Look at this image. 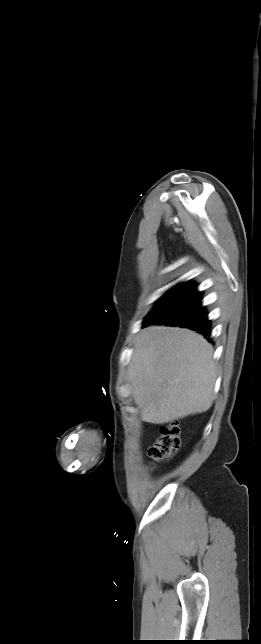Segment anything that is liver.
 Returning <instances> with one entry per match:
<instances>
[{
    "mask_svg": "<svg viewBox=\"0 0 261 644\" xmlns=\"http://www.w3.org/2000/svg\"><path fill=\"white\" fill-rule=\"evenodd\" d=\"M215 380L213 348L191 330L149 326L135 341L128 381L145 422L164 424L207 411Z\"/></svg>",
    "mask_w": 261,
    "mask_h": 644,
    "instance_id": "obj_1",
    "label": "liver"
}]
</instances>
